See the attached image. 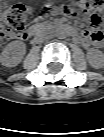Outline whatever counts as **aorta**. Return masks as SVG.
<instances>
[{
    "mask_svg": "<svg viewBox=\"0 0 104 137\" xmlns=\"http://www.w3.org/2000/svg\"><path fill=\"white\" fill-rule=\"evenodd\" d=\"M64 36H65V32L64 31H60L57 34V37L60 38V39L64 38Z\"/></svg>",
    "mask_w": 104,
    "mask_h": 137,
    "instance_id": "1",
    "label": "aorta"
}]
</instances>
